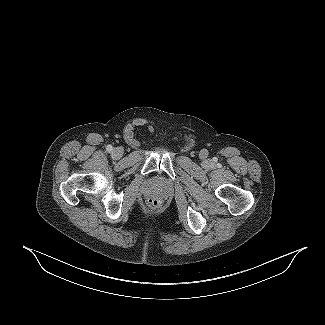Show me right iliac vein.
<instances>
[{
    "label": "right iliac vein",
    "instance_id": "63e3f726",
    "mask_svg": "<svg viewBox=\"0 0 325 325\" xmlns=\"http://www.w3.org/2000/svg\"><path fill=\"white\" fill-rule=\"evenodd\" d=\"M123 151L121 148H114L112 151V157L114 159H119L122 157Z\"/></svg>",
    "mask_w": 325,
    "mask_h": 325
}]
</instances>
